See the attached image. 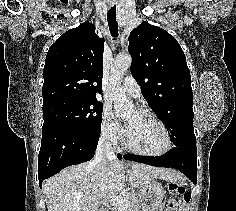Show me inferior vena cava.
I'll use <instances>...</instances> for the list:
<instances>
[{"instance_id": "602c4592", "label": "inferior vena cava", "mask_w": 236, "mask_h": 211, "mask_svg": "<svg viewBox=\"0 0 236 211\" xmlns=\"http://www.w3.org/2000/svg\"><path fill=\"white\" fill-rule=\"evenodd\" d=\"M116 160V156L112 147V138L106 134L101 135L94 160L91 166L106 165L109 161Z\"/></svg>"}]
</instances>
